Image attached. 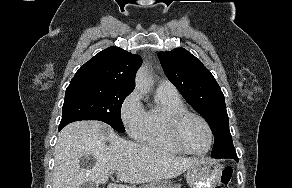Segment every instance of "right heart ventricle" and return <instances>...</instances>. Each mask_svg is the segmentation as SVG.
<instances>
[{
  "label": "right heart ventricle",
  "instance_id": "e07e8e85",
  "mask_svg": "<svg viewBox=\"0 0 292 188\" xmlns=\"http://www.w3.org/2000/svg\"><path fill=\"white\" fill-rule=\"evenodd\" d=\"M155 98L157 107L145 111L143 126L136 138L144 145L181 153L169 136L166 120L172 113L186 110V107L178 94L156 91Z\"/></svg>",
  "mask_w": 292,
  "mask_h": 188
}]
</instances>
